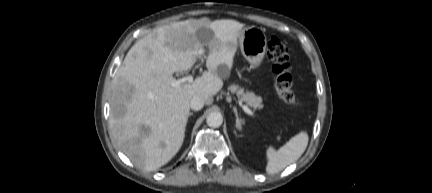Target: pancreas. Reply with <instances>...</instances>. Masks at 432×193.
<instances>
[{
  "instance_id": "pancreas-1",
  "label": "pancreas",
  "mask_w": 432,
  "mask_h": 193,
  "mask_svg": "<svg viewBox=\"0 0 432 193\" xmlns=\"http://www.w3.org/2000/svg\"><path fill=\"white\" fill-rule=\"evenodd\" d=\"M229 90L232 93H235L237 97L242 102H245L248 106L254 109L263 108L262 98L260 96H256L253 92H249V91L245 92L243 88H240L238 85H234V84L229 87Z\"/></svg>"
}]
</instances>
